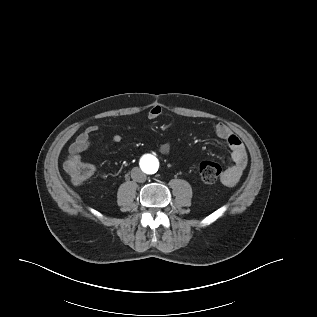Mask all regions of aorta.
<instances>
[{
	"label": "aorta",
	"instance_id": "762f6f07",
	"mask_svg": "<svg viewBox=\"0 0 317 317\" xmlns=\"http://www.w3.org/2000/svg\"><path fill=\"white\" fill-rule=\"evenodd\" d=\"M151 161H152V164H151V166H148L147 171H148L150 174H153V173H155L156 170H157V158L151 157Z\"/></svg>",
	"mask_w": 317,
	"mask_h": 317
}]
</instances>
